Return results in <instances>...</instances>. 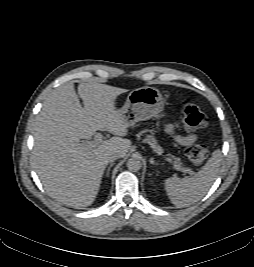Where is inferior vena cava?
I'll use <instances>...</instances> for the list:
<instances>
[{"mask_svg": "<svg viewBox=\"0 0 254 267\" xmlns=\"http://www.w3.org/2000/svg\"><path fill=\"white\" fill-rule=\"evenodd\" d=\"M119 157H120V154L119 153L113 152V153L110 154L108 160H109V162H113L116 159H118Z\"/></svg>", "mask_w": 254, "mask_h": 267, "instance_id": "602c4592", "label": "inferior vena cava"}]
</instances>
